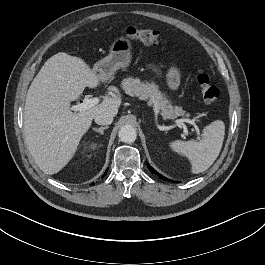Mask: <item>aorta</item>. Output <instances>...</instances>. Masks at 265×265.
<instances>
[{
	"instance_id": "aorta-1",
	"label": "aorta",
	"mask_w": 265,
	"mask_h": 265,
	"mask_svg": "<svg viewBox=\"0 0 265 265\" xmlns=\"http://www.w3.org/2000/svg\"><path fill=\"white\" fill-rule=\"evenodd\" d=\"M118 136L122 142L131 143L136 140L137 132L132 125H123L119 130Z\"/></svg>"
}]
</instances>
